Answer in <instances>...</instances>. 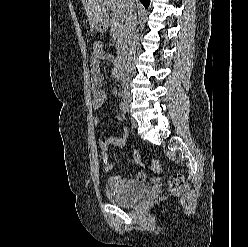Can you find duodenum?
<instances>
[{
    "mask_svg": "<svg viewBox=\"0 0 248 247\" xmlns=\"http://www.w3.org/2000/svg\"><path fill=\"white\" fill-rule=\"evenodd\" d=\"M128 65V57L126 55H121L118 58L116 67L120 73H123Z\"/></svg>",
    "mask_w": 248,
    "mask_h": 247,
    "instance_id": "obj_1",
    "label": "duodenum"
}]
</instances>
